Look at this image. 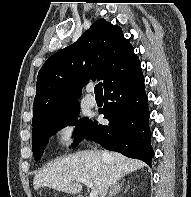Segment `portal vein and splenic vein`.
<instances>
[{
    "instance_id": "1",
    "label": "portal vein and splenic vein",
    "mask_w": 191,
    "mask_h": 197,
    "mask_svg": "<svg viewBox=\"0 0 191 197\" xmlns=\"http://www.w3.org/2000/svg\"><path fill=\"white\" fill-rule=\"evenodd\" d=\"M77 182L84 183L86 186L92 189L89 197H98V191L94 188L93 183L90 180L86 178H81V179H77Z\"/></svg>"
}]
</instances>
